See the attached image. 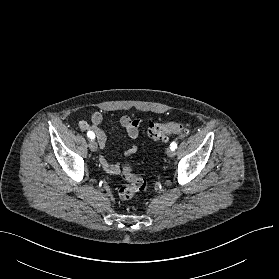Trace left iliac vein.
Returning <instances> with one entry per match:
<instances>
[{"label":"left iliac vein","mask_w":279,"mask_h":279,"mask_svg":"<svg viewBox=\"0 0 279 279\" xmlns=\"http://www.w3.org/2000/svg\"><path fill=\"white\" fill-rule=\"evenodd\" d=\"M167 155L169 157H174L176 155V151L175 150H172V149H168L167 150Z\"/></svg>","instance_id":"4c4485c4"}]
</instances>
